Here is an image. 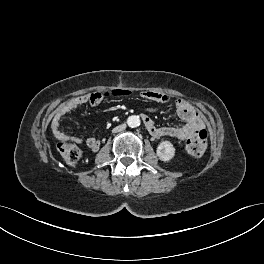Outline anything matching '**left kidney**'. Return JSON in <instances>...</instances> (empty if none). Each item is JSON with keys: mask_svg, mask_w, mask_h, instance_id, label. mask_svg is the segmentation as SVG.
<instances>
[{"mask_svg": "<svg viewBox=\"0 0 264 264\" xmlns=\"http://www.w3.org/2000/svg\"><path fill=\"white\" fill-rule=\"evenodd\" d=\"M158 157L164 161H170L175 155V148L170 141H162L157 147Z\"/></svg>", "mask_w": 264, "mask_h": 264, "instance_id": "left-kidney-1", "label": "left kidney"}]
</instances>
